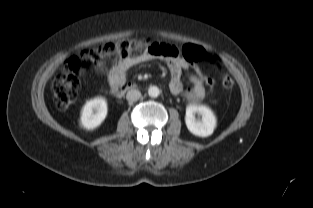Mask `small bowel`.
Returning a JSON list of instances; mask_svg holds the SVG:
<instances>
[{"label": "small bowel", "instance_id": "small-bowel-1", "mask_svg": "<svg viewBox=\"0 0 313 208\" xmlns=\"http://www.w3.org/2000/svg\"><path fill=\"white\" fill-rule=\"evenodd\" d=\"M161 51L157 54L143 52L138 55H120L114 62L107 67L103 62L97 61L94 69L97 73L105 77L111 88L124 83L126 72L132 66L143 63L153 56L163 55L168 59L170 70L169 89L174 95H184L187 101L192 104L206 96L205 81L201 76L188 73L192 65L178 51L171 46L159 44ZM187 73L189 87H185L183 74Z\"/></svg>", "mask_w": 313, "mask_h": 208}]
</instances>
